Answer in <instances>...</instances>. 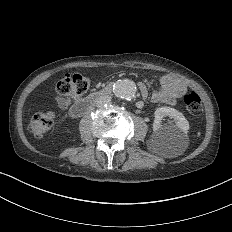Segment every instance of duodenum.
<instances>
[{
  "mask_svg": "<svg viewBox=\"0 0 232 232\" xmlns=\"http://www.w3.org/2000/svg\"><path fill=\"white\" fill-rule=\"evenodd\" d=\"M113 89L112 84H108L101 89L91 93L84 99L77 101L71 108H70V115L74 118L80 117L88 112L91 107L96 103L98 99L101 97L107 96L111 94Z\"/></svg>",
  "mask_w": 232,
  "mask_h": 232,
  "instance_id": "obj_1",
  "label": "duodenum"
}]
</instances>
